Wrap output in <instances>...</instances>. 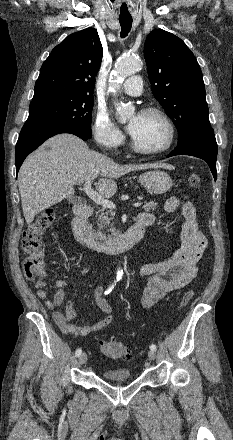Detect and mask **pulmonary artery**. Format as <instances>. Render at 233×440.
Segmentation results:
<instances>
[{
  "label": "pulmonary artery",
  "instance_id": "e3ab8cb5",
  "mask_svg": "<svg viewBox=\"0 0 233 440\" xmlns=\"http://www.w3.org/2000/svg\"><path fill=\"white\" fill-rule=\"evenodd\" d=\"M121 91L127 95L138 96L142 93V78L138 75L129 77L121 86Z\"/></svg>",
  "mask_w": 233,
  "mask_h": 440
}]
</instances>
